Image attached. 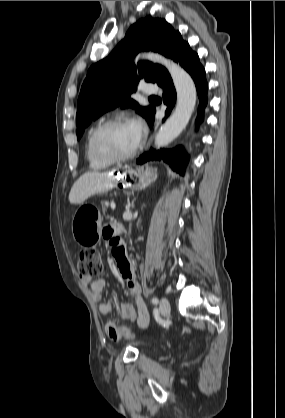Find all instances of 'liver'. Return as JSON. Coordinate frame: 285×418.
Instances as JSON below:
<instances>
[{
	"mask_svg": "<svg viewBox=\"0 0 285 418\" xmlns=\"http://www.w3.org/2000/svg\"><path fill=\"white\" fill-rule=\"evenodd\" d=\"M113 172L100 173L93 171L80 176L70 190V203L81 204L88 197L113 188L116 183V177L113 175Z\"/></svg>",
	"mask_w": 285,
	"mask_h": 418,
	"instance_id": "1",
	"label": "liver"
}]
</instances>
